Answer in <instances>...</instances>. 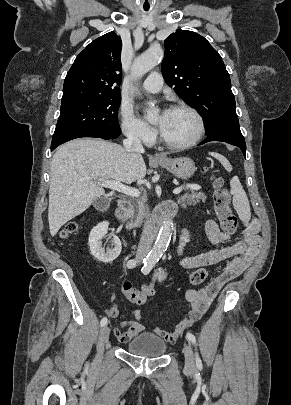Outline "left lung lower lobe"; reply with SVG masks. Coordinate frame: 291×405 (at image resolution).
I'll list each match as a JSON object with an SVG mask.
<instances>
[{
    "mask_svg": "<svg viewBox=\"0 0 291 405\" xmlns=\"http://www.w3.org/2000/svg\"><path fill=\"white\" fill-rule=\"evenodd\" d=\"M209 141H222L239 147L244 156L246 155V143L244 137L240 130L234 129H225L217 131L209 135L204 141L200 144L209 142Z\"/></svg>",
    "mask_w": 291,
    "mask_h": 405,
    "instance_id": "1",
    "label": "left lung lower lobe"
}]
</instances>
